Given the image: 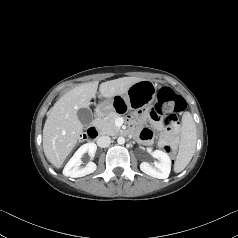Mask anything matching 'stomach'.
<instances>
[{
  "label": "stomach",
  "instance_id": "1",
  "mask_svg": "<svg viewBox=\"0 0 238 238\" xmlns=\"http://www.w3.org/2000/svg\"><path fill=\"white\" fill-rule=\"evenodd\" d=\"M156 97V85L150 80L134 83L125 94L117 95L100 103L96 108L99 116L115 111L124 115L134 110L144 109L152 104Z\"/></svg>",
  "mask_w": 238,
  "mask_h": 238
}]
</instances>
